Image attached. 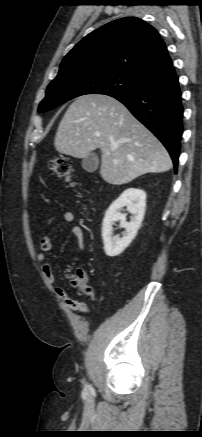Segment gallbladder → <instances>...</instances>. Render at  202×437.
I'll use <instances>...</instances> for the list:
<instances>
[{"label":"gallbladder","mask_w":202,"mask_h":437,"mask_svg":"<svg viewBox=\"0 0 202 437\" xmlns=\"http://www.w3.org/2000/svg\"><path fill=\"white\" fill-rule=\"evenodd\" d=\"M82 167L87 172H94L98 168V158L94 153H90L88 156L83 158Z\"/></svg>","instance_id":"1"}]
</instances>
